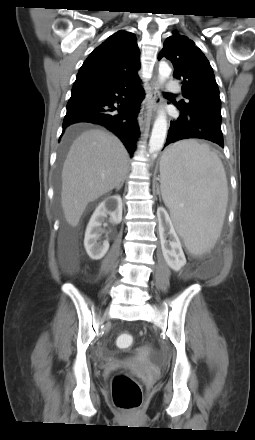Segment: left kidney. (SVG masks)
<instances>
[{
  "instance_id": "5707ae66",
  "label": "left kidney",
  "mask_w": 255,
  "mask_h": 440,
  "mask_svg": "<svg viewBox=\"0 0 255 440\" xmlns=\"http://www.w3.org/2000/svg\"><path fill=\"white\" fill-rule=\"evenodd\" d=\"M157 216L160 223L159 233L164 259L171 269L179 271L186 264L179 237L167 211L163 207L158 208ZM167 237H169V240L166 239Z\"/></svg>"
}]
</instances>
